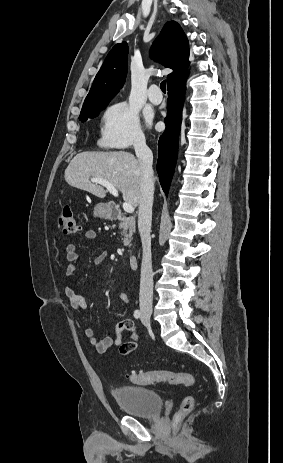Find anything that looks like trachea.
<instances>
[{
  "label": "trachea",
  "instance_id": "trachea-1",
  "mask_svg": "<svg viewBox=\"0 0 283 463\" xmlns=\"http://www.w3.org/2000/svg\"><path fill=\"white\" fill-rule=\"evenodd\" d=\"M162 92L166 93V80L162 81L160 84Z\"/></svg>",
  "mask_w": 283,
  "mask_h": 463
}]
</instances>
